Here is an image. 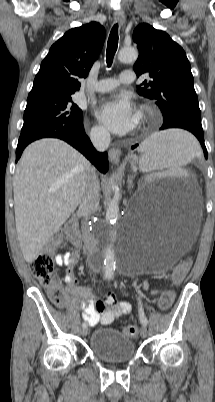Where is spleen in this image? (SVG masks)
<instances>
[{
	"mask_svg": "<svg viewBox=\"0 0 215 402\" xmlns=\"http://www.w3.org/2000/svg\"><path fill=\"white\" fill-rule=\"evenodd\" d=\"M143 152L140 168L144 171L169 168V173L177 172L195 155H199L194 133L189 128H170L155 134L139 147Z\"/></svg>",
	"mask_w": 215,
	"mask_h": 402,
	"instance_id": "3e777b00",
	"label": "spleen"
}]
</instances>
